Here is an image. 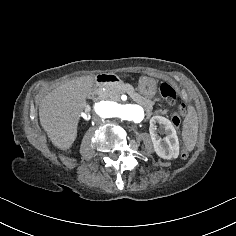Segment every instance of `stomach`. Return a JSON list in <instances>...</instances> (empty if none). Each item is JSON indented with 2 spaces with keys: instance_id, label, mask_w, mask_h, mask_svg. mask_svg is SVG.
Segmentation results:
<instances>
[{
  "instance_id": "1",
  "label": "stomach",
  "mask_w": 236,
  "mask_h": 236,
  "mask_svg": "<svg viewBox=\"0 0 236 236\" xmlns=\"http://www.w3.org/2000/svg\"><path fill=\"white\" fill-rule=\"evenodd\" d=\"M157 81L151 77H140L138 90L144 97L153 98L156 95Z\"/></svg>"
}]
</instances>
